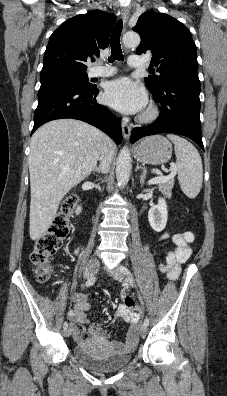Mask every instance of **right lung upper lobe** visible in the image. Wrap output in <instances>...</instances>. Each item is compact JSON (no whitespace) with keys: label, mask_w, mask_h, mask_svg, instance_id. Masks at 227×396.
<instances>
[{"label":"right lung upper lobe","mask_w":227,"mask_h":396,"mask_svg":"<svg viewBox=\"0 0 227 396\" xmlns=\"http://www.w3.org/2000/svg\"><path fill=\"white\" fill-rule=\"evenodd\" d=\"M114 22L115 15L101 10L65 21L49 39L42 70L68 68L86 71L87 60L108 46Z\"/></svg>","instance_id":"cb5924a9"}]
</instances>
